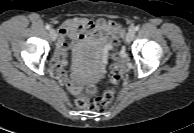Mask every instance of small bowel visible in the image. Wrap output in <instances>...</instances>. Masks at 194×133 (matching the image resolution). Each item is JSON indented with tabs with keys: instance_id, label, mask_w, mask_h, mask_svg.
<instances>
[{
	"instance_id": "small-bowel-1",
	"label": "small bowel",
	"mask_w": 194,
	"mask_h": 133,
	"mask_svg": "<svg viewBox=\"0 0 194 133\" xmlns=\"http://www.w3.org/2000/svg\"><path fill=\"white\" fill-rule=\"evenodd\" d=\"M122 28L115 22L105 19L91 20L84 17H74L65 20L59 27V39L53 58V68L61 77L70 92L77 94L79 87L69 78L65 71L66 54L72 45L97 37L102 43L109 39H117L122 34ZM67 39L71 43L67 42Z\"/></svg>"
}]
</instances>
